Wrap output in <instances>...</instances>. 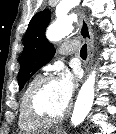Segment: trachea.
Masks as SVG:
<instances>
[{"mask_svg":"<svg viewBox=\"0 0 116 134\" xmlns=\"http://www.w3.org/2000/svg\"><path fill=\"white\" fill-rule=\"evenodd\" d=\"M80 56L86 59L87 57V45L86 44H84L83 47L81 48Z\"/></svg>","mask_w":116,"mask_h":134,"instance_id":"3493384b","label":"trachea"}]
</instances>
